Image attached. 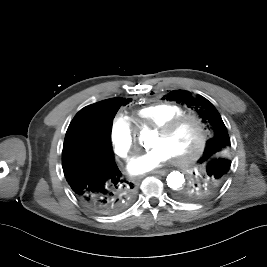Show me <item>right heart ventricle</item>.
<instances>
[{
  "label": "right heart ventricle",
  "mask_w": 267,
  "mask_h": 267,
  "mask_svg": "<svg viewBox=\"0 0 267 267\" xmlns=\"http://www.w3.org/2000/svg\"><path fill=\"white\" fill-rule=\"evenodd\" d=\"M185 113V109L172 103H156L136 111L134 121L157 128L167 120Z\"/></svg>",
  "instance_id": "right-heart-ventricle-1"
}]
</instances>
